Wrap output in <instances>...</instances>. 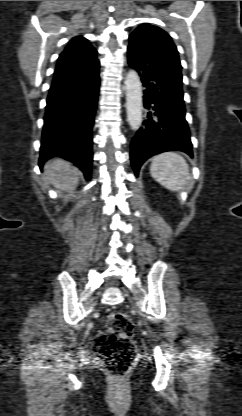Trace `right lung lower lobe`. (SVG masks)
Returning a JSON list of instances; mask_svg holds the SVG:
<instances>
[{
    "mask_svg": "<svg viewBox=\"0 0 242 416\" xmlns=\"http://www.w3.org/2000/svg\"><path fill=\"white\" fill-rule=\"evenodd\" d=\"M99 68L85 77L53 82L47 98L39 166L58 156L91 179L92 127L97 108Z\"/></svg>",
    "mask_w": 242,
    "mask_h": 416,
    "instance_id": "98d812e1",
    "label": "right lung lower lobe"
}]
</instances>
